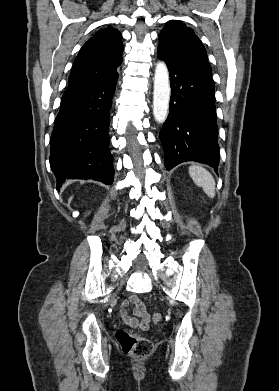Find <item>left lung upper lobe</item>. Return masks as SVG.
I'll return each mask as SVG.
<instances>
[{"label":"left lung upper lobe","mask_w":279,"mask_h":391,"mask_svg":"<svg viewBox=\"0 0 279 391\" xmlns=\"http://www.w3.org/2000/svg\"><path fill=\"white\" fill-rule=\"evenodd\" d=\"M160 52L168 61L186 67L214 83L207 53L194 31L180 21L166 23L159 34Z\"/></svg>","instance_id":"1"}]
</instances>
